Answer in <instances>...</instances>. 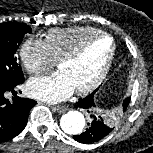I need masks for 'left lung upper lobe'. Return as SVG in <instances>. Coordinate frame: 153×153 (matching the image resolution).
<instances>
[{
	"instance_id": "left-lung-upper-lobe-1",
	"label": "left lung upper lobe",
	"mask_w": 153,
	"mask_h": 153,
	"mask_svg": "<svg viewBox=\"0 0 153 153\" xmlns=\"http://www.w3.org/2000/svg\"><path fill=\"white\" fill-rule=\"evenodd\" d=\"M95 92H96V90L94 91V93H95ZM127 99H128V98H126L124 101H126ZM125 110H126V109H123V112H124ZM121 113H122V111H121L120 109L111 112L110 116L105 118L106 121H107V123H108L110 126L113 127V126L117 123L118 119L120 118Z\"/></svg>"
}]
</instances>
